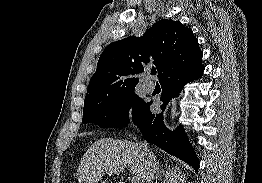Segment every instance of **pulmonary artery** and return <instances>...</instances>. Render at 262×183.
Segmentation results:
<instances>
[{
    "label": "pulmonary artery",
    "instance_id": "e3ab8cb5",
    "mask_svg": "<svg viewBox=\"0 0 262 183\" xmlns=\"http://www.w3.org/2000/svg\"><path fill=\"white\" fill-rule=\"evenodd\" d=\"M155 88V85L152 82H145L144 89L146 92H152Z\"/></svg>",
    "mask_w": 262,
    "mask_h": 183
}]
</instances>
